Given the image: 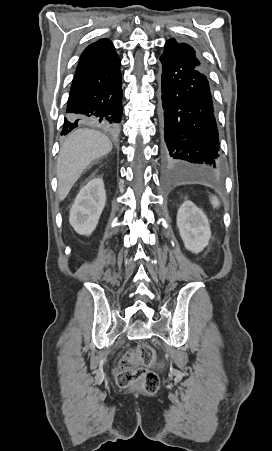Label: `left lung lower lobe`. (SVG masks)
Returning a JSON list of instances; mask_svg holds the SVG:
<instances>
[{"label": "left lung lower lobe", "mask_w": 272, "mask_h": 451, "mask_svg": "<svg viewBox=\"0 0 272 451\" xmlns=\"http://www.w3.org/2000/svg\"><path fill=\"white\" fill-rule=\"evenodd\" d=\"M162 64L159 111L161 156L168 167L221 169L209 78L194 48L169 39Z\"/></svg>", "instance_id": "1"}]
</instances>
